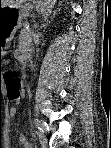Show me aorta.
Instances as JSON below:
<instances>
[{"label": "aorta", "instance_id": "1", "mask_svg": "<svg viewBox=\"0 0 111 148\" xmlns=\"http://www.w3.org/2000/svg\"><path fill=\"white\" fill-rule=\"evenodd\" d=\"M54 3L55 0H45L44 2L41 3V6L39 8V14L42 16V18L48 17L54 6Z\"/></svg>", "mask_w": 111, "mask_h": 148}]
</instances>
